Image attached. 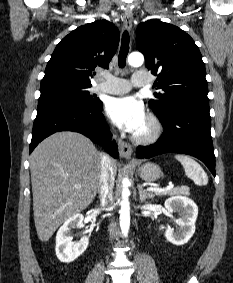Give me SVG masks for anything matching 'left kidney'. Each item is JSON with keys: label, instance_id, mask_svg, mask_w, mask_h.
Returning a JSON list of instances; mask_svg holds the SVG:
<instances>
[{"label": "left kidney", "instance_id": "obj_1", "mask_svg": "<svg viewBox=\"0 0 233 283\" xmlns=\"http://www.w3.org/2000/svg\"><path fill=\"white\" fill-rule=\"evenodd\" d=\"M165 209L168 213L178 212L180 218L176 221L178 229L167 227L164 230L166 239L175 245H183L189 241L195 232V222L198 216V208L193 200L177 196L165 201Z\"/></svg>", "mask_w": 233, "mask_h": 283}]
</instances>
